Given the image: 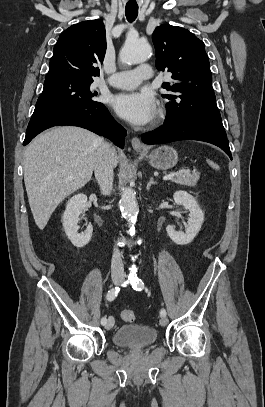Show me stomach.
Instances as JSON below:
<instances>
[{
	"label": "stomach",
	"mask_w": 265,
	"mask_h": 407,
	"mask_svg": "<svg viewBox=\"0 0 265 407\" xmlns=\"http://www.w3.org/2000/svg\"><path fill=\"white\" fill-rule=\"evenodd\" d=\"M147 159L152 167L167 170L176 165L178 162V154L172 147L163 145L152 151L147 156Z\"/></svg>",
	"instance_id": "0dacf381"
}]
</instances>
